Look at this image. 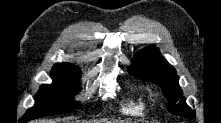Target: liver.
Instances as JSON below:
<instances>
[{"label":"liver","mask_w":221,"mask_h":123,"mask_svg":"<svg viewBox=\"0 0 221 123\" xmlns=\"http://www.w3.org/2000/svg\"><path fill=\"white\" fill-rule=\"evenodd\" d=\"M107 123H126L121 120H106ZM33 123H49L47 120H38V121H33Z\"/></svg>","instance_id":"1"}]
</instances>
